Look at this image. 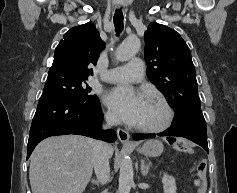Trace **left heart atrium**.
<instances>
[{"instance_id":"left-heart-atrium-1","label":"left heart atrium","mask_w":237,"mask_h":193,"mask_svg":"<svg viewBox=\"0 0 237 193\" xmlns=\"http://www.w3.org/2000/svg\"><path fill=\"white\" fill-rule=\"evenodd\" d=\"M104 100L124 121L130 124L138 123L146 103L144 96L128 85H118L110 89Z\"/></svg>"}]
</instances>
